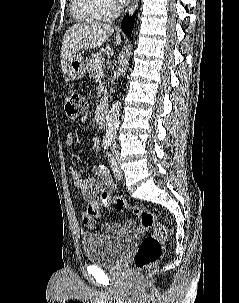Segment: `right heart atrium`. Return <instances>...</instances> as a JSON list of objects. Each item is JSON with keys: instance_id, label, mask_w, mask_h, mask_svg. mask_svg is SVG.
<instances>
[{"instance_id": "right-heart-atrium-1", "label": "right heart atrium", "mask_w": 239, "mask_h": 303, "mask_svg": "<svg viewBox=\"0 0 239 303\" xmlns=\"http://www.w3.org/2000/svg\"><path fill=\"white\" fill-rule=\"evenodd\" d=\"M98 3V8L101 14L110 18L113 17L119 10L118 4L115 0H96Z\"/></svg>"}]
</instances>
